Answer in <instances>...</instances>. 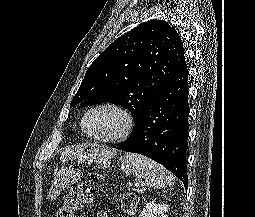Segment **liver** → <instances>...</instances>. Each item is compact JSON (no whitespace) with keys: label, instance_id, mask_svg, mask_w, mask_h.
<instances>
[{"label":"liver","instance_id":"liver-1","mask_svg":"<svg viewBox=\"0 0 255 217\" xmlns=\"http://www.w3.org/2000/svg\"><path fill=\"white\" fill-rule=\"evenodd\" d=\"M112 156V151L108 148L101 147L96 144L81 145L77 147H66L61 151L60 160H79L85 161L88 159L105 158L109 159Z\"/></svg>","mask_w":255,"mask_h":217}]
</instances>
